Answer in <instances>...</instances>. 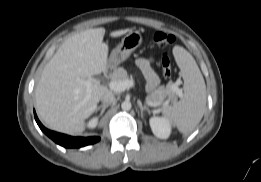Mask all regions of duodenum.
Returning <instances> with one entry per match:
<instances>
[{"label":"duodenum","instance_id":"1","mask_svg":"<svg viewBox=\"0 0 261 182\" xmlns=\"http://www.w3.org/2000/svg\"><path fill=\"white\" fill-rule=\"evenodd\" d=\"M110 72L109 68H106L105 73L108 74Z\"/></svg>","mask_w":261,"mask_h":182}]
</instances>
